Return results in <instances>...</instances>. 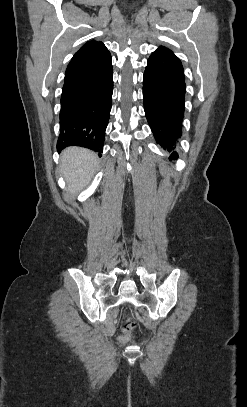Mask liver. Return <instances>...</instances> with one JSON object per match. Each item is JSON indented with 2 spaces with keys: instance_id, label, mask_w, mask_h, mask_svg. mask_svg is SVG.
<instances>
[{
  "instance_id": "liver-1",
  "label": "liver",
  "mask_w": 247,
  "mask_h": 407,
  "mask_svg": "<svg viewBox=\"0 0 247 407\" xmlns=\"http://www.w3.org/2000/svg\"><path fill=\"white\" fill-rule=\"evenodd\" d=\"M97 155L81 147L66 148L61 154V172L67 182V192L75 195L94 177Z\"/></svg>"
}]
</instances>
